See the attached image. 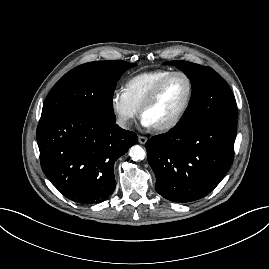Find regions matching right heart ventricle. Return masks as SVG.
Instances as JSON below:
<instances>
[{"instance_id":"1","label":"right heart ventricle","mask_w":269,"mask_h":269,"mask_svg":"<svg viewBox=\"0 0 269 269\" xmlns=\"http://www.w3.org/2000/svg\"><path fill=\"white\" fill-rule=\"evenodd\" d=\"M169 73H171L169 70L139 73L126 81L123 91L130 103L139 110L155 85Z\"/></svg>"}]
</instances>
